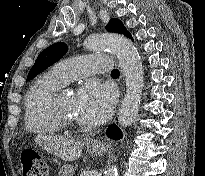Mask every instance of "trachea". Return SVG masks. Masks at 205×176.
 <instances>
[{"instance_id":"trachea-1","label":"trachea","mask_w":205,"mask_h":176,"mask_svg":"<svg viewBox=\"0 0 205 176\" xmlns=\"http://www.w3.org/2000/svg\"><path fill=\"white\" fill-rule=\"evenodd\" d=\"M112 74H119V70H117V69H114V70H112V72H111Z\"/></svg>"}]
</instances>
